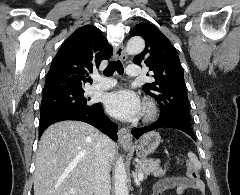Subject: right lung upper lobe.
Returning <instances> with one entry per match:
<instances>
[{
  "label": "right lung upper lobe",
  "mask_w": 240,
  "mask_h": 195,
  "mask_svg": "<svg viewBox=\"0 0 240 195\" xmlns=\"http://www.w3.org/2000/svg\"><path fill=\"white\" fill-rule=\"evenodd\" d=\"M112 47L101 31L92 25L78 28L58 50L47 74L43 95L83 89L88 72L108 60Z\"/></svg>",
  "instance_id": "right-lung-upper-lobe-1"
}]
</instances>
